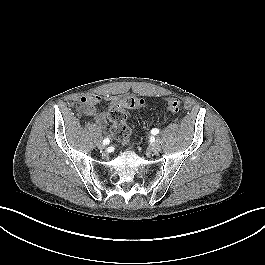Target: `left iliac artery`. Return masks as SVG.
<instances>
[{
	"label": "left iliac artery",
	"instance_id": "1",
	"mask_svg": "<svg viewBox=\"0 0 265 265\" xmlns=\"http://www.w3.org/2000/svg\"><path fill=\"white\" fill-rule=\"evenodd\" d=\"M151 133L156 135V134L159 133V130L157 128H154V129L151 130Z\"/></svg>",
	"mask_w": 265,
	"mask_h": 265
}]
</instances>
